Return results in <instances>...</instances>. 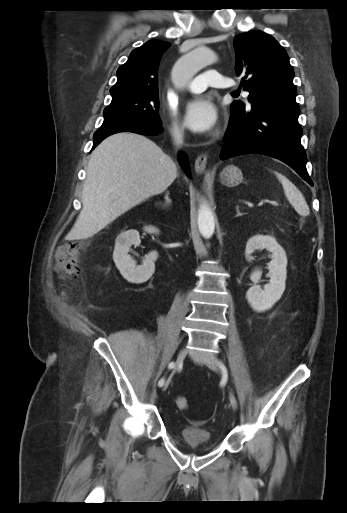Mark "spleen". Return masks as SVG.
<instances>
[{
	"label": "spleen",
	"instance_id": "3e777b00",
	"mask_svg": "<svg viewBox=\"0 0 347 513\" xmlns=\"http://www.w3.org/2000/svg\"><path fill=\"white\" fill-rule=\"evenodd\" d=\"M274 174L282 184L284 193L296 212L303 217L309 215V206L300 190L282 173L275 171Z\"/></svg>",
	"mask_w": 347,
	"mask_h": 513
}]
</instances>
